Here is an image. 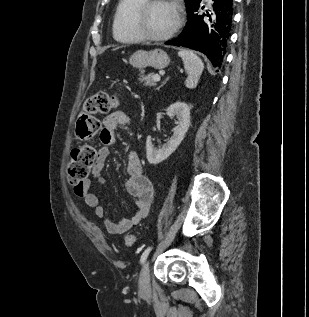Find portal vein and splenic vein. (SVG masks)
I'll list each match as a JSON object with an SVG mask.
<instances>
[{
  "mask_svg": "<svg viewBox=\"0 0 309 317\" xmlns=\"http://www.w3.org/2000/svg\"><path fill=\"white\" fill-rule=\"evenodd\" d=\"M153 79H154V81L158 82V81H160L161 77H160V75L156 74L153 76Z\"/></svg>",
  "mask_w": 309,
  "mask_h": 317,
  "instance_id": "18ae733b",
  "label": "portal vein and splenic vein"
}]
</instances>
